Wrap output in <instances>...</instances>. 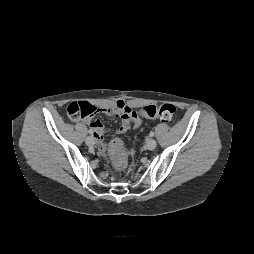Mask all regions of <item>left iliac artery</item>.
<instances>
[{"instance_id": "obj_1", "label": "left iliac artery", "mask_w": 254, "mask_h": 254, "mask_svg": "<svg viewBox=\"0 0 254 254\" xmlns=\"http://www.w3.org/2000/svg\"><path fill=\"white\" fill-rule=\"evenodd\" d=\"M149 135H150L151 137H153V136H154V132L151 131Z\"/></svg>"}]
</instances>
